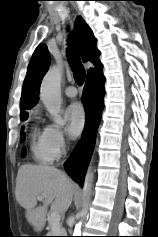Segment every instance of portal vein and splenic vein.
Here are the masks:
<instances>
[{"instance_id":"obj_1","label":"portal vein and splenic vein","mask_w":158,"mask_h":237,"mask_svg":"<svg viewBox=\"0 0 158 237\" xmlns=\"http://www.w3.org/2000/svg\"><path fill=\"white\" fill-rule=\"evenodd\" d=\"M46 197V195L38 196V200H43ZM50 224L53 228L60 227V214L58 212H52L50 214Z\"/></svg>"}]
</instances>
